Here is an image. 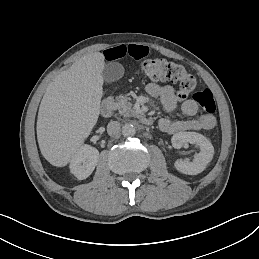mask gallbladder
<instances>
[{
	"label": "gallbladder",
	"instance_id": "bac80fb5",
	"mask_svg": "<svg viewBox=\"0 0 259 259\" xmlns=\"http://www.w3.org/2000/svg\"><path fill=\"white\" fill-rule=\"evenodd\" d=\"M124 74V68L119 63H109L105 65L102 77L105 82L110 83L120 79Z\"/></svg>",
	"mask_w": 259,
	"mask_h": 259
}]
</instances>
